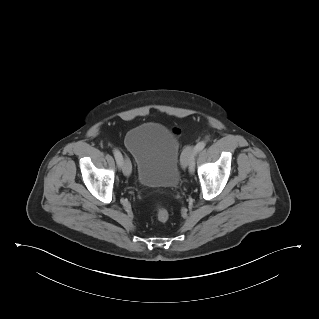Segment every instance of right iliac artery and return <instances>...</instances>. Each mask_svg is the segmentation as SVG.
<instances>
[{"mask_svg": "<svg viewBox=\"0 0 319 319\" xmlns=\"http://www.w3.org/2000/svg\"><path fill=\"white\" fill-rule=\"evenodd\" d=\"M113 154H114V157L116 159L118 167H121L122 166V162H123V156H122L121 152L119 150H117V149H114L113 150Z\"/></svg>", "mask_w": 319, "mask_h": 319, "instance_id": "obj_1", "label": "right iliac artery"}]
</instances>
